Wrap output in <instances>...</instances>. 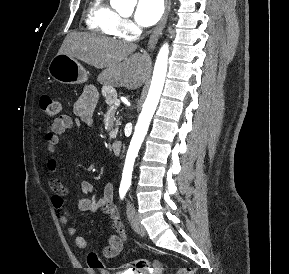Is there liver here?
Wrapping results in <instances>:
<instances>
[{"mask_svg": "<svg viewBox=\"0 0 289 274\" xmlns=\"http://www.w3.org/2000/svg\"><path fill=\"white\" fill-rule=\"evenodd\" d=\"M134 43L101 37L94 33H69L58 54H67L97 69H104L98 80L104 85L137 89L143 83L147 57L134 53Z\"/></svg>", "mask_w": 289, "mask_h": 274, "instance_id": "1", "label": "liver"}]
</instances>
